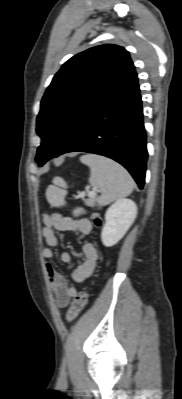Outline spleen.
<instances>
[{
	"label": "spleen",
	"instance_id": "spleen-1",
	"mask_svg": "<svg viewBox=\"0 0 182 399\" xmlns=\"http://www.w3.org/2000/svg\"><path fill=\"white\" fill-rule=\"evenodd\" d=\"M80 161L90 168V185L101 191L99 200L101 205H107L132 193L135 183L131 175L115 161L95 154L83 155L80 157ZM53 184L46 191L48 202L55 207L65 205L66 182L62 178L56 177ZM82 212L83 210L78 208L73 213L78 216Z\"/></svg>",
	"mask_w": 182,
	"mask_h": 399
}]
</instances>
